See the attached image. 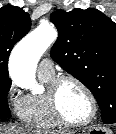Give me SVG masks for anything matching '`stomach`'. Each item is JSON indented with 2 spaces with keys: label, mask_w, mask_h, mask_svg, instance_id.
I'll return each mask as SVG.
<instances>
[{
  "label": "stomach",
  "mask_w": 116,
  "mask_h": 134,
  "mask_svg": "<svg viewBox=\"0 0 116 134\" xmlns=\"http://www.w3.org/2000/svg\"><path fill=\"white\" fill-rule=\"evenodd\" d=\"M87 134H112V132L101 127H92L88 130Z\"/></svg>",
  "instance_id": "obj_1"
}]
</instances>
